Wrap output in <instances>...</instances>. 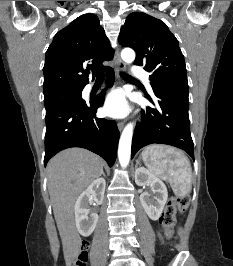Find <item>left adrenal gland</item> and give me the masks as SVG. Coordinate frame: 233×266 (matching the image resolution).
Returning <instances> with one entry per match:
<instances>
[{
	"mask_svg": "<svg viewBox=\"0 0 233 266\" xmlns=\"http://www.w3.org/2000/svg\"><path fill=\"white\" fill-rule=\"evenodd\" d=\"M139 163H140V160H138L137 163H136V169H138L137 166H138Z\"/></svg>",
	"mask_w": 233,
	"mask_h": 266,
	"instance_id": "a2214340",
	"label": "left adrenal gland"
}]
</instances>
